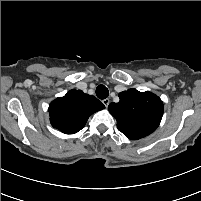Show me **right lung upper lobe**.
Returning a JSON list of instances; mask_svg holds the SVG:
<instances>
[{
	"label": "right lung upper lobe",
	"mask_w": 201,
	"mask_h": 201,
	"mask_svg": "<svg viewBox=\"0 0 201 201\" xmlns=\"http://www.w3.org/2000/svg\"><path fill=\"white\" fill-rule=\"evenodd\" d=\"M105 106L94 96L81 90H70L49 105L50 121L62 133L74 134L86 124L89 116Z\"/></svg>",
	"instance_id": "cb5924a9"
}]
</instances>
